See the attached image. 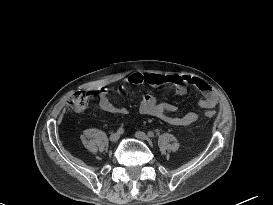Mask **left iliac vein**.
Instances as JSON below:
<instances>
[{"label":"left iliac vein","instance_id":"1","mask_svg":"<svg viewBox=\"0 0 273 205\" xmlns=\"http://www.w3.org/2000/svg\"><path fill=\"white\" fill-rule=\"evenodd\" d=\"M135 137L137 139H139V140H142V141H147L148 140V136L142 131H137L135 133Z\"/></svg>","mask_w":273,"mask_h":205}]
</instances>
